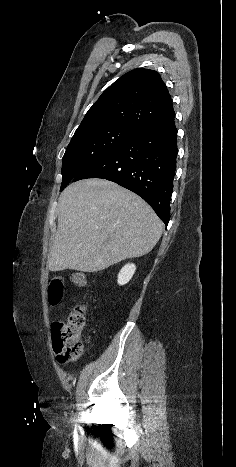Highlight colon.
Returning <instances> with one entry per match:
<instances>
[{"instance_id": "colon-1", "label": "colon", "mask_w": 236, "mask_h": 467, "mask_svg": "<svg viewBox=\"0 0 236 467\" xmlns=\"http://www.w3.org/2000/svg\"><path fill=\"white\" fill-rule=\"evenodd\" d=\"M70 281L77 287L84 288L88 284L84 271H74ZM65 282L61 276H55L48 285V302L56 307L64 297ZM86 322L84 306H75L65 321H56L52 326V346L56 353L57 362L67 365L78 359L82 353L81 333Z\"/></svg>"}]
</instances>
